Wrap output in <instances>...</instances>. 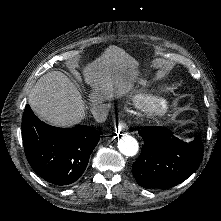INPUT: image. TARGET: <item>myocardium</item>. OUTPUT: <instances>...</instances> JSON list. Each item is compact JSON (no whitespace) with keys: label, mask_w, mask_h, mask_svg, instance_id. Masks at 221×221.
<instances>
[{"label":"myocardium","mask_w":221,"mask_h":221,"mask_svg":"<svg viewBox=\"0 0 221 221\" xmlns=\"http://www.w3.org/2000/svg\"><path fill=\"white\" fill-rule=\"evenodd\" d=\"M147 117L150 122L154 124H161L166 121L168 117V110L165 105L161 103H154L149 106L147 110Z\"/></svg>","instance_id":"1"}]
</instances>
